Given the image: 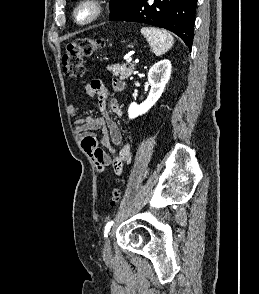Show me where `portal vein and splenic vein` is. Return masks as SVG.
<instances>
[{"label":"portal vein and splenic vein","instance_id":"1","mask_svg":"<svg viewBox=\"0 0 259 294\" xmlns=\"http://www.w3.org/2000/svg\"><path fill=\"white\" fill-rule=\"evenodd\" d=\"M131 61H132V58H131V57H129V58L126 60L127 63H130Z\"/></svg>","mask_w":259,"mask_h":294}]
</instances>
